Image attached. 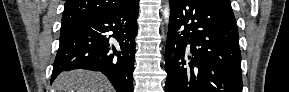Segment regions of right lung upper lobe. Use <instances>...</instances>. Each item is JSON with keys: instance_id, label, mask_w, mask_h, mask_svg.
I'll return each instance as SVG.
<instances>
[{"instance_id": "right-lung-upper-lobe-1", "label": "right lung upper lobe", "mask_w": 289, "mask_h": 92, "mask_svg": "<svg viewBox=\"0 0 289 92\" xmlns=\"http://www.w3.org/2000/svg\"><path fill=\"white\" fill-rule=\"evenodd\" d=\"M135 0H67L61 26H74L82 20L118 10Z\"/></svg>"}]
</instances>
